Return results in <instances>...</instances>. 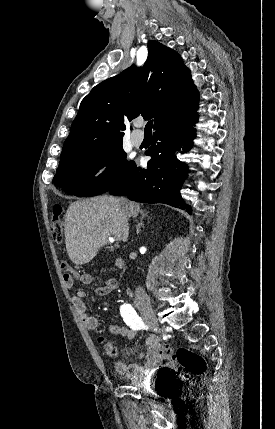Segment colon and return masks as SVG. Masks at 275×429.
<instances>
[{
	"mask_svg": "<svg viewBox=\"0 0 275 429\" xmlns=\"http://www.w3.org/2000/svg\"><path fill=\"white\" fill-rule=\"evenodd\" d=\"M51 236L57 244L63 241V210L60 205H54L52 210ZM62 267L66 273L69 272L67 264L63 263ZM107 349L110 355H116L117 352L111 345H107ZM160 365L165 369L179 366L181 374L186 378L190 375H201L207 369L206 361L201 355L185 347L173 350L168 345H164L160 350Z\"/></svg>",
	"mask_w": 275,
	"mask_h": 429,
	"instance_id": "colon-1",
	"label": "colon"
}]
</instances>
